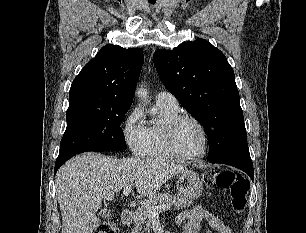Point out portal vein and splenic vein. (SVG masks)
Masks as SVG:
<instances>
[{
	"label": "portal vein and splenic vein",
	"instance_id": "portal-vein-and-splenic-vein-1",
	"mask_svg": "<svg viewBox=\"0 0 306 233\" xmlns=\"http://www.w3.org/2000/svg\"><path fill=\"white\" fill-rule=\"evenodd\" d=\"M131 192V186H126L123 190V196H128ZM171 208V204H162L159 206H147V212L152 216H157L159 212L164 210H169Z\"/></svg>",
	"mask_w": 306,
	"mask_h": 233
}]
</instances>
